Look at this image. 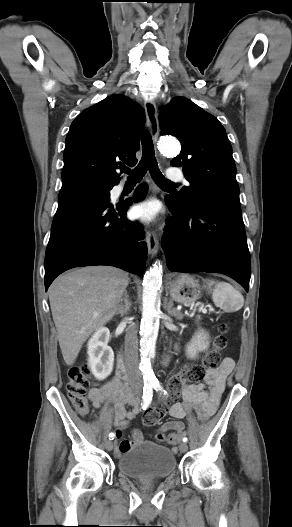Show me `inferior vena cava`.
Here are the masks:
<instances>
[{
    "instance_id": "inferior-vena-cava-1",
    "label": "inferior vena cava",
    "mask_w": 292,
    "mask_h": 527,
    "mask_svg": "<svg viewBox=\"0 0 292 527\" xmlns=\"http://www.w3.org/2000/svg\"><path fill=\"white\" fill-rule=\"evenodd\" d=\"M125 363L131 386H142V374L138 368V337L136 328L130 325L125 335Z\"/></svg>"
}]
</instances>
